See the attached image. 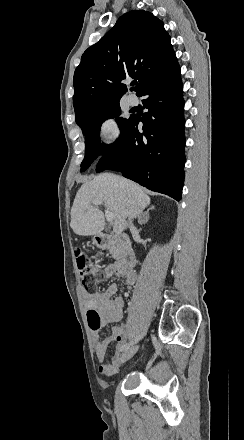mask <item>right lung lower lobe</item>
Returning a JSON list of instances; mask_svg holds the SVG:
<instances>
[{
	"label": "right lung lower lobe",
	"instance_id": "right-lung-lower-lobe-1",
	"mask_svg": "<svg viewBox=\"0 0 244 440\" xmlns=\"http://www.w3.org/2000/svg\"><path fill=\"white\" fill-rule=\"evenodd\" d=\"M182 93L178 62L146 80L137 94L146 97L142 102L148 112L129 118L96 171H121L124 177L179 201L185 163ZM140 121L142 131L137 127Z\"/></svg>",
	"mask_w": 244,
	"mask_h": 440
}]
</instances>
